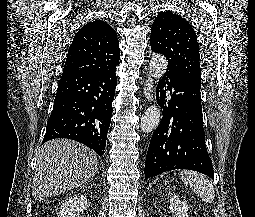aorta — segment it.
<instances>
[{"label": "aorta", "instance_id": "1", "mask_svg": "<svg viewBox=\"0 0 255 217\" xmlns=\"http://www.w3.org/2000/svg\"><path fill=\"white\" fill-rule=\"evenodd\" d=\"M168 66L167 59L162 55H155L149 63V73L153 78H161ZM161 110L157 105L147 108L141 117L140 128L145 133L154 131L160 123Z\"/></svg>", "mask_w": 255, "mask_h": 217}]
</instances>
